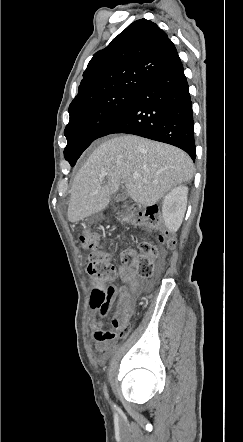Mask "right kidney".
Segmentation results:
<instances>
[{
	"mask_svg": "<svg viewBox=\"0 0 243 442\" xmlns=\"http://www.w3.org/2000/svg\"><path fill=\"white\" fill-rule=\"evenodd\" d=\"M187 195L188 187L178 186L164 197L162 217L171 231H177L182 224L187 206Z\"/></svg>",
	"mask_w": 243,
	"mask_h": 442,
	"instance_id": "obj_1",
	"label": "right kidney"
}]
</instances>
